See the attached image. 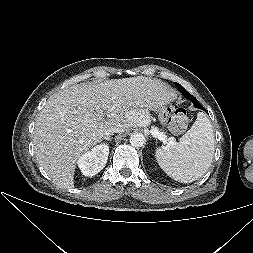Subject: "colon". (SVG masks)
Wrapping results in <instances>:
<instances>
[{
  "label": "colon",
  "instance_id": "obj_1",
  "mask_svg": "<svg viewBox=\"0 0 253 253\" xmlns=\"http://www.w3.org/2000/svg\"><path fill=\"white\" fill-rule=\"evenodd\" d=\"M168 115V127L172 132L180 133L187 128L189 120L183 109L172 105L168 108Z\"/></svg>",
  "mask_w": 253,
  "mask_h": 253
}]
</instances>
